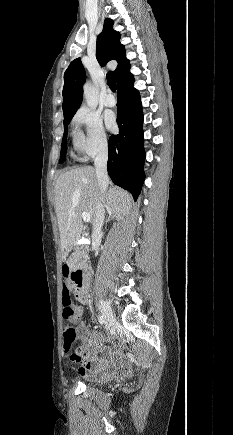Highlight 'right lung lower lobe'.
<instances>
[{"mask_svg": "<svg viewBox=\"0 0 233 435\" xmlns=\"http://www.w3.org/2000/svg\"><path fill=\"white\" fill-rule=\"evenodd\" d=\"M133 83L132 74L117 81L119 134L109 139L107 169L114 184L129 191L136 200L145 179V151L142 106L139 92Z\"/></svg>", "mask_w": 233, "mask_h": 435, "instance_id": "obj_1", "label": "right lung lower lobe"}]
</instances>
